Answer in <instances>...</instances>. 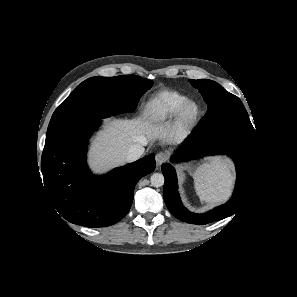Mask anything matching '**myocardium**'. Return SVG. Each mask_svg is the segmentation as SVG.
<instances>
[{
	"label": "myocardium",
	"mask_w": 297,
	"mask_h": 297,
	"mask_svg": "<svg viewBox=\"0 0 297 297\" xmlns=\"http://www.w3.org/2000/svg\"><path fill=\"white\" fill-rule=\"evenodd\" d=\"M194 106L196 108L195 113L192 116H187L188 109ZM203 111L201 106L196 102L189 100L187 101L178 111L175 116V127L178 133L188 134L198 124L202 117Z\"/></svg>",
	"instance_id": "f54148a6"
}]
</instances>
